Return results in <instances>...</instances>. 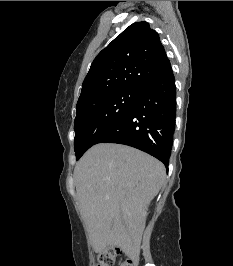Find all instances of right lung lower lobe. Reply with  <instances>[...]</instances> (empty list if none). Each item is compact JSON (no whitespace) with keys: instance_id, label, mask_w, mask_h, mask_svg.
Listing matches in <instances>:
<instances>
[{"instance_id":"98d812e1","label":"right lung lower lobe","mask_w":233,"mask_h":266,"mask_svg":"<svg viewBox=\"0 0 233 266\" xmlns=\"http://www.w3.org/2000/svg\"><path fill=\"white\" fill-rule=\"evenodd\" d=\"M175 80L170 68L144 87L126 114L97 143H119L140 149L163 162L168 171L175 128Z\"/></svg>"}]
</instances>
